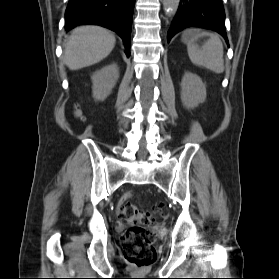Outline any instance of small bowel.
<instances>
[{
  "mask_svg": "<svg viewBox=\"0 0 279 279\" xmlns=\"http://www.w3.org/2000/svg\"><path fill=\"white\" fill-rule=\"evenodd\" d=\"M129 197H130V194L124 195V196L120 199V201H119V203H118V207H119L121 204H123Z\"/></svg>",
  "mask_w": 279,
  "mask_h": 279,
  "instance_id": "c3829d8e",
  "label": "small bowel"
}]
</instances>
